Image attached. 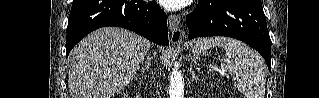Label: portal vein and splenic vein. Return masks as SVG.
Instances as JSON below:
<instances>
[{
	"label": "portal vein and splenic vein",
	"instance_id": "1",
	"mask_svg": "<svg viewBox=\"0 0 319 98\" xmlns=\"http://www.w3.org/2000/svg\"><path fill=\"white\" fill-rule=\"evenodd\" d=\"M211 68L217 70L216 67H211ZM225 69H226L225 67H221V70H219V71L223 74L225 72Z\"/></svg>",
	"mask_w": 319,
	"mask_h": 98
}]
</instances>
